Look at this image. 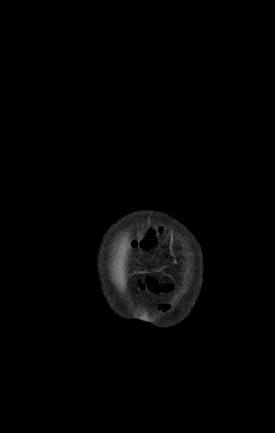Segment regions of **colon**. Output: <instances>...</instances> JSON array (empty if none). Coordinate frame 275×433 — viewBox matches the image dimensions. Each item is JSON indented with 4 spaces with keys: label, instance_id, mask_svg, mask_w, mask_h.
Instances as JSON below:
<instances>
[{
    "label": "colon",
    "instance_id": "1",
    "mask_svg": "<svg viewBox=\"0 0 275 433\" xmlns=\"http://www.w3.org/2000/svg\"><path fill=\"white\" fill-rule=\"evenodd\" d=\"M153 243H154V240H153V239H150V240H148V241L145 243V245L149 246V245H151V244H153Z\"/></svg>",
    "mask_w": 275,
    "mask_h": 433
}]
</instances>
